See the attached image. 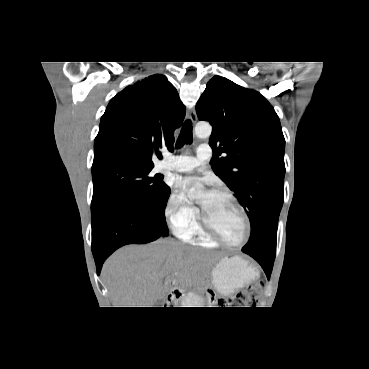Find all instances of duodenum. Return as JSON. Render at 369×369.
I'll list each match as a JSON object with an SVG mask.
<instances>
[{
    "mask_svg": "<svg viewBox=\"0 0 369 369\" xmlns=\"http://www.w3.org/2000/svg\"><path fill=\"white\" fill-rule=\"evenodd\" d=\"M171 299H174L175 298V295L174 293L172 292L171 295H170ZM178 297V296H177Z\"/></svg>",
    "mask_w": 369,
    "mask_h": 369,
    "instance_id": "obj_1",
    "label": "duodenum"
}]
</instances>
